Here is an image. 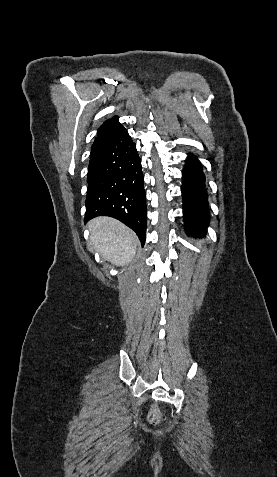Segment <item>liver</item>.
I'll use <instances>...</instances> for the list:
<instances>
[{"label":"liver","instance_id":"obj_1","mask_svg":"<svg viewBox=\"0 0 277 477\" xmlns=\"http://www.w3.org/2000/svg\"><path fill=\"white\" fill-rule=\"evenodd\" d=\"M89 245L116 266L128 265L136 254L137 237L120 221L100 216L88 222Z\"/></svg>","mask_w":277,"mask_h":477}]
</instances>
